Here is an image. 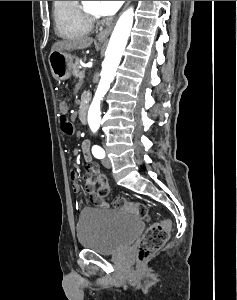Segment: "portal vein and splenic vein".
Segmentation results:
<instances>
[{
  "label": "portal vein and splenic vein",
  "instance_id": "portal-vein-and-splenic-vein-1",
  "mask_svg": "<svg viewBox=\"0 0 237 300\" xmlns=\"http://www.w3.org/2000/svg\"><path fill=\"white\" fill-rule=\"evenodd\" d=\"M80 75L82 76V79H83V76L85 75L84 73H83V70H80Z\"/></svg>",
  "mask_w": 237,
  "mask_h": 300
}]
</instances>
